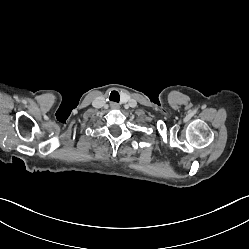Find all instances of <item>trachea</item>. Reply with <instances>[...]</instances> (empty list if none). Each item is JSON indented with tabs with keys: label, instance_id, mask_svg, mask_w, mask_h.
Listing matches in <instances>:
<instances>
[{
	"label": "trachea",
	"instance_id": "3493384b",
	"mask_svg": "<svg viewBox=\"0 0 249 249\" xmlns=\"http://www.w3.org/2000/svg\"><path fill=\"white\" fill-rule=\"evenodd\" d=\"M113 92L118 96V100H119V94H118L117 92H115V91H113ZM113 92H112V93H113ZM112 93H111V95H110V100H112V98H111V97H112ZM112 101H115V100H112Z\"/></svg>",
	"mask_w": 249,
	"mask_h": 249
}]
</instances>
